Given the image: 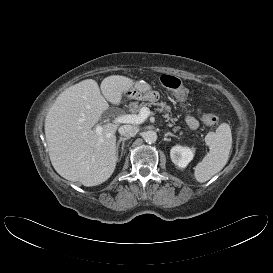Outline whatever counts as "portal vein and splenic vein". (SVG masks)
Here are the masks:
<instances>
[{
	"label": "portal vein and splenic vein",
	"mask_w": 273,
	"mask_h": 273,
	"mask_svg": "<svg viewBox=\"0 0 273 273\" xmlns=\"http://www.w3.org/2000/svg\"><path fill=\"white\" fill-rule=\"evenodd\" d=\"M153 112L149 108H141L139 114H124L117 116L114 119L115 123H127V124H142ZM102 126L96 127V133L100 134L102 132Z\"/></svg>",
	"instance_id": "obj_1"
}]
</instances>
